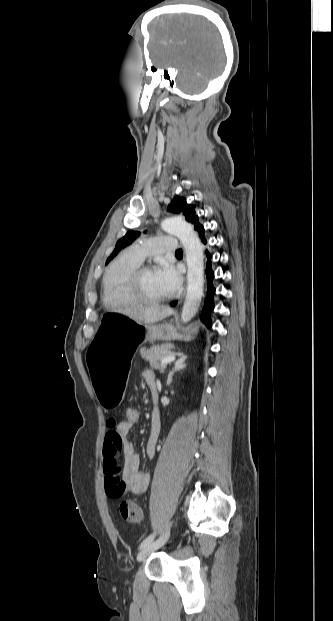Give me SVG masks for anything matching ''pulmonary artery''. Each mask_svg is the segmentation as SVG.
Returning <instances> with one entry per match:
<instances>
[{
	"mask_svg": "<svg viewBox=\"0 0 333 621\" xmlns=\"http://www.w3.org/2000/svg\"><path fill=\"white\" fill-rule=\"evenodd\" d=\"M178 250L177 240L173 236H159L142 240L132 245L128 254L138 262H143L148 256L159 255L165 252H175Z\"/></svg>",
	"mask_w": 333,
	"mask_h": 621,
	"instance_id": "pulmonary-artery-1",
	"label": "pulmonary artery"
}]
</instances>
